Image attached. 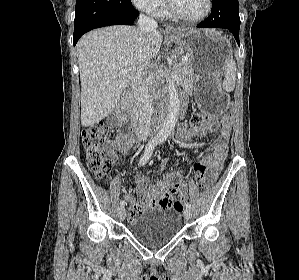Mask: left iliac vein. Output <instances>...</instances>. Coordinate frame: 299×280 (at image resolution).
<instances>
[{
    "mask_svg": "<svg viewBox=\"0 0 299 280\" xmlns=\"http://www.w3.org/2000/svg\"><path fill=\"white\" fill-rule=\"evenodd\" d=\"M191 210L189 209V208H186L185 210H184V218L185 219H190L191 218Z\"/></svg>",
    "mask_w": 299,
    "mask_h": 280,
    "instance_id": "1",
    "label": "left iliac vein"
}]
</instances>
